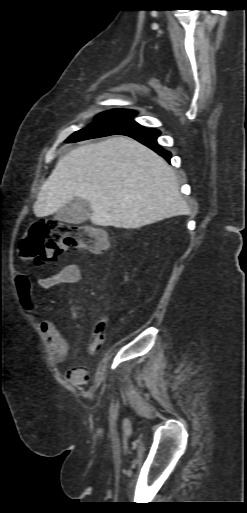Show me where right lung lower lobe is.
I'll return each mask as SVG.
<instances>
[{
	"label": "right lung lower lobe",
	"mask_w": 247,
	"mask_h": 513,
	"mask_svg": "<svg viewBox=\"0 0 247 513\" xmlns=\"http://www.w3.org/2000/svg\"><path fill=\"white\" fill-rule=\"evenodd\" d=\"M118 134L130 136L137 141L143 143L148 146L159 155L164 157L167 161H170L171 154L168 151H165L157 144V137L160 135V131L154 128H145L143 126H132L129 127Z\"/></svg>",
	"instance_id": "obj_1"
}]
</instances>
